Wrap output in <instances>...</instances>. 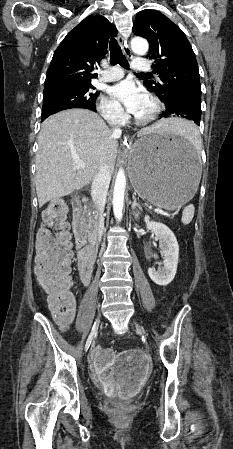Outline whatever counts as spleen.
Listing matches in <instances>:
<instances>
[{"label":"spleen","instance_id":"1","mask_svg":"<svg viewBox=\"0 0 233 449\" xmlns=\"http://www.w3.org/2000/svg\"><path fill=\"white\" fill-rule=\"evenodd\" d=\"M174 133L179 135V140L181 142H192L195 147H197L199 142V135L196 131V124L195 125H175V131ZM194 205L189 204L187 205L182 214L181 222L184 225L189 224L193 217H194Z\"/></svg>","mask_w":233,"mask_h":449}]
</instances>
